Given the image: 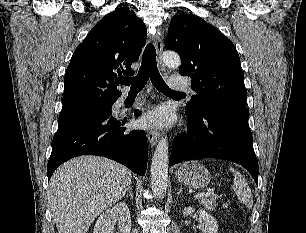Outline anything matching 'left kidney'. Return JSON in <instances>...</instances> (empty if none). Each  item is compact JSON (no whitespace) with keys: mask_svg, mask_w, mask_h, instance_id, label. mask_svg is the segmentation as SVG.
<instances>
[{"mask_svg":"<svg viewBox=\"0 0 306 233\" xmlns=\"http://www.w3.org/2000/svg\"><path fill=\"white\" fill-rule=\"evenodd\" d=\"M194 211H195L194 208L187 207L184 208L183 214L190 215ZM198 214H199V222L202 227L203 233H218V224L216 219L212 215H210L205 210H199Z\"/></svg>","mask_w":306,"mask_h":233,"instance_id":"obj_1","label":"left kidney"}]
</instances>
